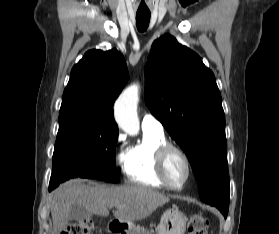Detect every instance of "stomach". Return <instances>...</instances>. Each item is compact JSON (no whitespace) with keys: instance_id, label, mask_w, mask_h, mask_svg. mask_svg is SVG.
<instances>
[{"instance_id":"0dacf381","label":"stomach","mask_w":279,"mask_h":234,"mask_svg":"<svg viewBox=\"0 0 279 234\" xmlns=\"http://www.w3.org/2000/svg\"><path fill=\"white\" fill-rule=\"evenodd\" d=\"M187 217L178 209L166 210L157 226L158 234H184L186 229ZM125 228L122 231L125 234H145L138 227L131 223H122Z\"/></svg>"}]
</instances>
